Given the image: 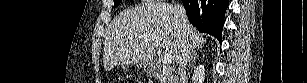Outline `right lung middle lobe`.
Returning a JSON list of instances; mask_svg holds the SVG:
<instances>
[{"label": "right lung middle lobe", "mask_w": 307, "mask_h": 83, "mask_svg": "<svg viewBox=\"0 0 307 83\" xmlns=\"http://www.w3.org/2000/svg\"><path fill=\"white\" fill-rule=\"evenodd\" d=\"M120 2H121V0H116V1L114 2V7H117V6L120 4Z\"/></svg>", "instance_id": "1"}]
</instances>
